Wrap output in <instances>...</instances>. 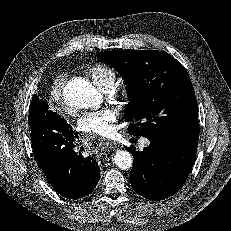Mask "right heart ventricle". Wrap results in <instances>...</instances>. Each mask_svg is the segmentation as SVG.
Here are the masks:
<instances>
[{
    "label": "right heart ventricle",
    "mask_w": 231,
    "mask_h": 231,
    "mask_svg": "<svg viewBox=\"0 0 231 231\" xmlns=\"http://www.w3.org/2000/svg\"><path fill=\"white\" fill-rule=\"evenodd\" d=\"M88 74L93 83L103 90L110 88L117 77L116 71L112 67L102 63L91 67Z\"/></svg>",
    "instance_id": "e07e8e85"
}]
</instances>
